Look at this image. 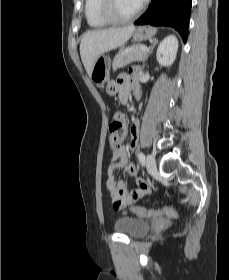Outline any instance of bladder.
<instances>
[{
	"instance_id": "31cf9c89",
	"label": "bladder",
	"mask_w": 229,
	"mask_h": 280,
	"mask_svg": "<svg viewBox=\"0 0 229 280\" xmlns=\"http://www.w3.org/2000/svg\"><path fill=\"white\" fill-rule=\"evenodd\" d=\"M114 229L131 238H139L152 231V227L146 219L131 216L117 219L114 223Z\"/></svg>"
}]
</instances>
